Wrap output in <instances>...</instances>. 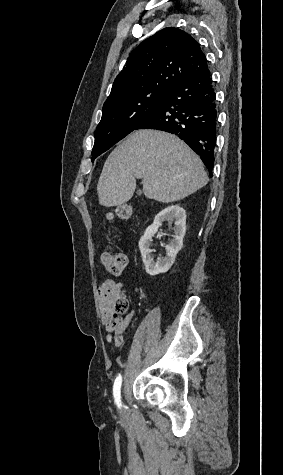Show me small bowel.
<instances>
[{
  "mask_svg": "<svg viewBox=\"0 0 283 475\" xmlns=\"http://www.w3.org/2000/svg\"><path fill=\"white\" fill-rule=\"evenodd\" d=\"M121 289V284L115 282L113 279H107L99 286L97 291L101 321L107 333L106 340L108 343H114L117 347L122 346L124 332L133 318V312L130 311L125 318L113 320L119 318V313H112V310L113 303Z\"/></svg>",
  "mask_w": 283,
  "mask_h": 475,
  "instance_id": "small-bowel-1",
  "label": "small bowel"
}]
</instances>
